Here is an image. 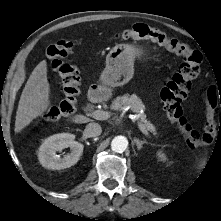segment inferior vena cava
I'll return each mask as SVG.
<instances>
[{
  "label": "inferior vena cava",
  "mask_w": 221,
  "mask_h": 221,
  "mask_svg": "<svg viewBox=\"0 0 221 221\" xmlns=\"http://www.w3.org/2000/svg\"><path fill=\"white\" fill-rule=\"evenodd\" d=\"M102 133V128L98 123H89L85 128L88 137H96Z\"/></svg>",
  "instance_id": "obj_1"
}]
</instances>
